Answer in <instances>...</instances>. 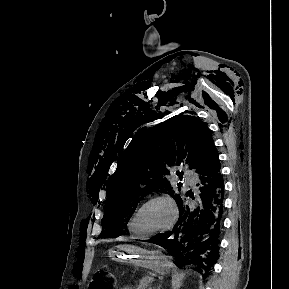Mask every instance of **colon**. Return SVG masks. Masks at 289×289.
<instances>
[{
	"label": "colon",
	"mask_w": 289,
	"mask_h": 289,
	"mask_svg": "<svg viewBox=\"0 0 289 289\" xmlns=\"http://www.w3.org/2000/svg\"><path fill=\"white\" fill-rule=\"evenodd\" d=\"M114 278L107 271L99 270L94 275L92 279L89 289H111Z\"/></svg>",
	"instance_id": "obj_1"
}]
</instances>
